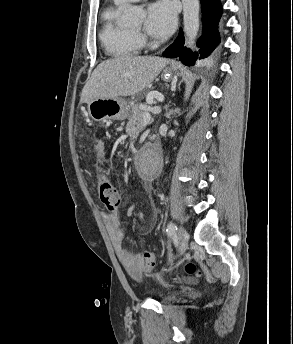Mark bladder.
<instances>
[{
  "mask_svg": "<svg viewBox=\"0 0 293 344\" xmlns=\"http://www.w3.org/2000/svg\"><path fill=\"white\" fill-rule=\"evenodd\" d=\"M177 295L176 294H165L163 296H161L160 301L164 304H168V303H172L177 299Z\"/></svg>",
  "mask_w": 293,
  "mask_h": 344,
  "instance_id": "1",
  "label": "bladder"
}]
</instances>
